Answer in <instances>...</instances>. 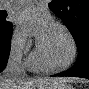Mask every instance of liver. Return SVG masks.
<instances>
[{
    "instance_id": "liver-1",
    "label": "liver",
    "mask_w": 89,
    "mask_h": 89,
    "mask_svg": "<svg viewBox=\"0 0 89 89\" xmlns=\"http://www.w3.org/2000/svg\"><path fill=\"white\" fill-rule=\"evenodd\" d=\"M80 81L81 80L75 78H45L39 79L37 81H30L25 76L9 75L4 72L1 75L0 86L2 87L1 89H10L8 88V82H12L14 85L13 87H16L14 89H33L32 87H34L35 85H37V87L42 88L47 85H59Z\"/></svg>"
}]
</instances>
